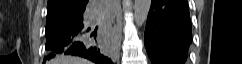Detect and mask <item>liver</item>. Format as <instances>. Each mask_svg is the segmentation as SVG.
<instances>
[{"label":"liver","instance_id":"6515ba94","mask_svg":"<svg viewBox=\"0 0 242 64\" xmlns=\"http://www.w3.org/2000/svg\"><path fill=\"white\" fill-rule=\"evenodd\" d=\"M53 64H91V62L79 57L62 56L55 59Z\"/></svg>","mask_w":242,"mask_h":64}]
</instances>
